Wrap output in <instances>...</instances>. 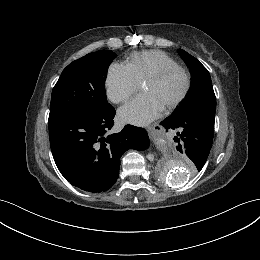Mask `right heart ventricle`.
I'll return each mask as SVG.
<instances>
[{"label":"right heart ventricle","mask_w":260,"mask_h":260,"mask_svg":"<svg viewBox=\"0 0 260 260\" xmlns=\"http://www.w3.org/2000/svg\"><path fill=\"white\" fill-rule=\"evenodd\" d=\"M178 62L160 50H145L133 53L126 62V67L138 84L163 68L177 66Z\"/></svg>","instance_id":"right-heart-ventricle-1"}]
</instances>
